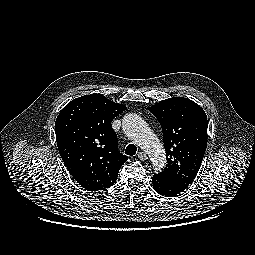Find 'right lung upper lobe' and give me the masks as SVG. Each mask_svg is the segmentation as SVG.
Listing matches in <instances>:
<instances>
[{
  "mask_svg": "<svg viewBox=\"0 0 255 255\" xmlns=\"http://www.w3.org/2000/svg\"><path fill=\"white\" fill-rule=\"evenodd\" d=\"M126 109L102 94L69 102L55 122L57 146L64 164L83 188L99 191L112 186L127 161L117 148L112 120Z\"/></svg>",
  "mask_w": 255,
  "mask_h": 255,
  "instance_id": "right-lung-upper-lobe-1",
  "label": "right lung upper lobe"
}]
</instances>
